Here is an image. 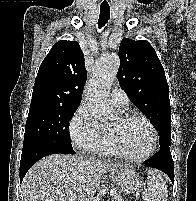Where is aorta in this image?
<instances>
[{
  "instance_id": "1",
  "label": "aorta",
  "mask_w": 196,
  "mask_h": 201,
  "mask_svg": "<svg viewBox=\"0 0 196 201\" xmlns=\"http://www.w3.org/2000/svg\"><path fill=\"white\" fill-rule=\"evenodd\" d=\"M119 66L120 58L116 53L101 57L96 62L87 87L85 100L93 116L101 123L116 119V112L110 104L109 95Z\"/></svg>"
}]
</instances>
